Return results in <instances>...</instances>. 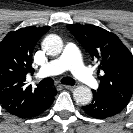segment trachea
Returning <instances> with one entry per match:
<instances>
[{"mask_svg": "<svg viewBox=\"0 0 133 133\" xmlns=\"http://www.w3.org/2000/svg\"><path fill=\"white\" fill-rule=\"evenodd\" d=\"M61 82L63 84H67V85H74L75 81L70 78V77H64L61 79ZM40 85L42 87H48V86H53L54 85V80L52 78H45L40 82Z\"/></svg>", "mask_w": 133, "mask_h": 133, "instance_id": "3493384b", "label": "trachea"}]
</instances>
